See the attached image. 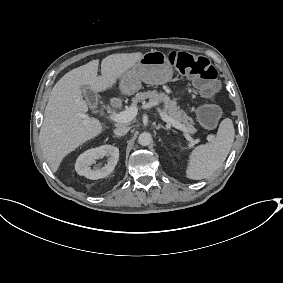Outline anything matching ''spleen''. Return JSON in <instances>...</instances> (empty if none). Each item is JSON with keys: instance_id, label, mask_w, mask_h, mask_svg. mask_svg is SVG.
Segmentation results:
<instances>
[{"instance_id": "3e777b00", "label": "spleen", "mask_w": 283, "mask_h": 283, "mask_svg": "<svg viewBox=\"0 0 283 283\" xmlns=\"http://www.w3.org/2000/svg\"><path fill=\"white\" fill-rule=\"evenodd\" d=\"M234 137L233 122L226 118L220 123L217 135L211 142L199 145L191 152L186 170L187 178L201 180L218 170L232 147Z\"/></svg>"}]
</instances>
